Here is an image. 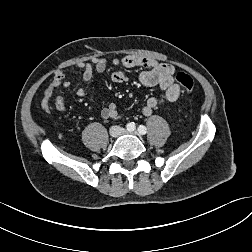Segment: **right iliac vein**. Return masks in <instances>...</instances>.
I'll return each instance as SVG.
<instances>
[{"label":"right iliac vein","mask_w":252,"mask_h":252,"mask_svg":"<svg viewBox=\"0 0 252 252\" xmlns=\"http://www.w3.org/2000/svg\"><path fill=\"white\" fill-rule=\"evenodd\" d=\"M123 132V130L118 127V126H113L111 129H110V136L112 138H117L119 135H121V133Z\"/></svg>","instance_id":"right-iliac-vein-1"}]
</instances>
